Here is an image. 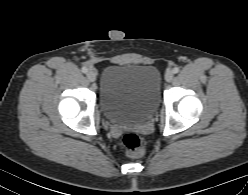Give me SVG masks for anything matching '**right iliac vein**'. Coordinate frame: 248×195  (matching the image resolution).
Returning <instances> with one entry per match:
<instances>
[{
	"label": "right iliac vein",
	"mask_w": 248,
	"mask_h": 195,
	"mask_svg": "<svg viewBox=\"0 0 248 195\" xmlns=\"http://www.w3.org/2000/svg\"><path fill=\"white\" fill-rule=\"evenodd\" d=\"M86 75H87V78H88L89 81L94 82L96 80L97 74H96L95 71L90 70V71L87 72Z\"/></svg>",
	"instance_id": "1"
}]
</instances>
